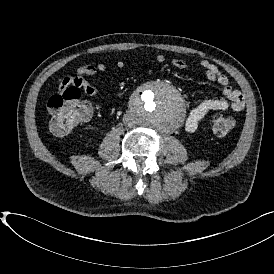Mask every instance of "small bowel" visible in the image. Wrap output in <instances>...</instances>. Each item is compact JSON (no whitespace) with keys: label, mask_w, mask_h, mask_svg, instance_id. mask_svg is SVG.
<instances>
[{"label":"small bowel","mask_w":274,"mask_h":274,"mask_svg":"<svg viewBox=\"0 0 274 274\" xmlns=\"http://www.w3.org/2000/svg\"><path fill=\"white\" fill-rule=\"evenodd\" d=\"M155 61L158 64H163L167 61V59L164 55L159 54L155 57ZM170 63L179 69L189 68V64L186 61L180 59H171ZM116 67L120 70L125 69V61L118 60L116 62ZM200 67L204 71V74L208 80L216 82L223 87V97L205 99L189 112L185 120V130L188 133L196 132L200 122L208 113L212 111L231 110L233 112H240L245 107V100L242 93L230 86L229 78L224 73H222L214 63L208 60H202L200 62ZM107 69L108 66L104 62H99L97 64L90 62L83 63L78 68L74 77H66L58 80V89L54 92L55 98H62V91L69 87H75L76 89L83 91L86 95L91 97L97 96L99 93L98 89L89 81H87L85 77L103 73L107 71Z\"/></svg>","instance_id":"1"}]
</instances>
